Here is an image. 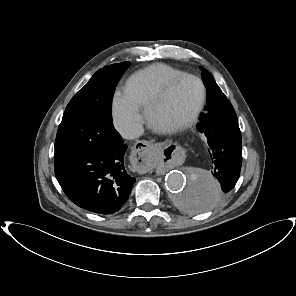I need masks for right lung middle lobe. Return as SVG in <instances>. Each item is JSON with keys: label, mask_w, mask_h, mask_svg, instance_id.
I'll return each mask as SVG.
<instances>
[{"label": "right lung middle lobe", "mask_w": 296, "mask_h": 296, "mask_svg": "<svg viewBox=\"0 0 296 296\" xmlns=\"http://www.w3.org/2000/svg\"><path fill=\"white\" fill-rule=\"evenodd\" d=\"M129 65L122 62L99 69L71 99L58 127L54 159L122 143L110 106L115 87Z\"/></svg>", "instance_id": "right-lung-middle-lobe-1"}]
</instances>
